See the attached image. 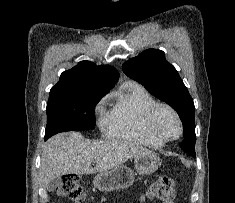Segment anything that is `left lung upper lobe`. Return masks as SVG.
Instances as JSON below:
<instances>
[{"mask_svg":"<svg viewBox=\"0 0 235 203\" xmlns=\"http://www.w3.org/2000/svg\"><path fill=\"white\" fill-rule=\"evenodd\" d=\"M124 73L142 84L150 94L169 104L179 115L183 130L190 131L188 148L185 151L195 157V107L192 97L181 80L178 72L165 59L161 50L148 49L123 64Z\"/></svg>","mask_w":235,"mask_h":203,"instance_id":"1","label":"left lung upper lobe"}]
</instances>
